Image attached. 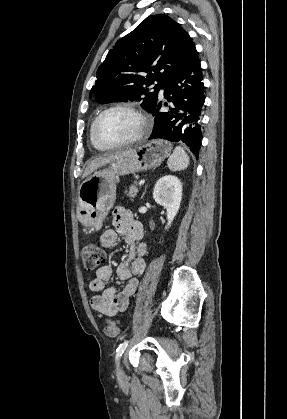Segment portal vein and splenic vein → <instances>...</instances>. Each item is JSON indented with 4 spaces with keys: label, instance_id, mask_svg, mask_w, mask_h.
<instances>
[{
    "label": "portal vein and splenic vein",
    "instance_id": "portal-vein-and-splenic-vein-1",
    "mask_svg": "<svg viewBox=\"0 0 287 419\" xmlns=\"http://www.w3.org/2000/svg\"><path fill=\"white\" fill-rule=\"evenodd\" d=\"M144 183H145V180H140L138 184L141 186V185H143Z\"/></svg>",
    "mask_w": 287,
    "mask_h": 419
}]
</instances>
